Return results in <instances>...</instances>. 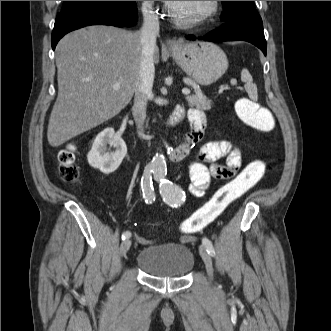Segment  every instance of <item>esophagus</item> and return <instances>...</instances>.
<instances>
[{
    "label": "esophagus",
    "instance_id": "esophagus-1",
    "mask_svg": "<svg viewBox=\"0 0 331 331\" xmlns=\"http://www.w3.org/2000/svg\"><path fill=\"white\" fill-rule=\"evenodd\" d=\"M167 44H168V46L170 47V48H175L176 46H177V41H175V40H172V39H169L168 41H167Z\"/></svg>",
    "mask_w": 331,
    "mask_h": 331
}]
</instances>
